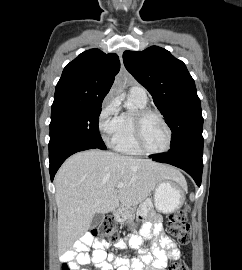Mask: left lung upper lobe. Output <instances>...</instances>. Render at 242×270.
I'll return each instance as SVG.
<instances>
[{"label":"left lung upper lobe","mask_w":242,"mask_h":270,"mask_svg":"<svg viewBox=\"0 0 242 270\" xmlns=\"http://www.w3.org/2000/svg\"><path fill=\"white\" fill-rule=\"evenodd\" d=\"M126 69L143 85L172 131L171 149L203 141V117L195 82L185 64L163 48L125 51Z\"/></svg>","instance_id":"obj_1"}]
</instances>
